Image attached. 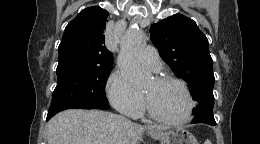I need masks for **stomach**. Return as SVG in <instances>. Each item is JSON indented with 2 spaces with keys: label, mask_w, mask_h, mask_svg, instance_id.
<instances>
[{
  "label": "stomach",
  "mask_w": 260,
  "mask_h": 144,
  "mask_svg": "<svg viewBox=\"0 0 260 144\" xmlns=\"http://www.w3.org/2000/svg\"><path fill=\"white\" fill-rule=\"evenodd\" d=\"M151 136L160 144H198L194 135L186 129L174 128L169 131H152Z\"/></svg>",
  "instance_id": "stomach-1"
}]
</instances>
